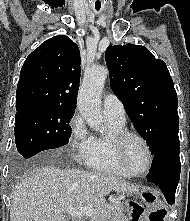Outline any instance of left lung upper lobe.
<instances>
[{
    "label": "left lung upper lobe",
    "mask_w": 190,
    "mask_h": 221,
    "mask_svg": "<svg viewBox=\"0 0 190 221\" xmlns=\"http://www.w3.org/2000/svg\"><path fill=\"white\" fill-rule=\"evenodd\" d=\"M110 85L151 153L179 140L177 94L166 64L144 46H109Z\"/></svg>",
    "instance_id": "left-lung-upper-lobe-1"
}]
</instances>
